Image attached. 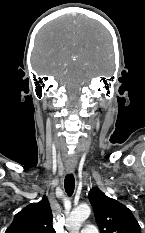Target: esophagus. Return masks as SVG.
<instances>
[{"label": "esophagus", "mask_w": 145, "mask_h": 233, "mask_svg": "<svg viewBox=\"0 0 145 233\" xmlns=\"http://www.w3.org/2000/svg\"><path fill=\"white\" fill-rule=\"evenodd\" d=\"M66 171H67V173L71 174V173H73V172H74V169H72V168H68Z\"/></svg>", "instance_id": "obj_1"}]
</instances>
